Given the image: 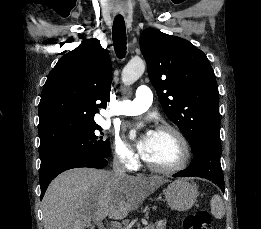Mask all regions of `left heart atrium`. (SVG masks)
<instances>
[{
  "mask_svg": "<svg viewBox=\"0 0 261 229\" xmlns=\"http://www.w3.org/2000/svg\"><path fill=\"white\" fill-rule=\"evenodd\" d=\"M154 134L155 131L152 130L146 131L137 143L138 150L141 153V155L144 157L146 156L149 150V146Z\"/></svg>",
  "mask_w": 261,
  "mask_h": 229,
  "instance_id": "39dd6f15",
  "label": "left heart atrium"
}]
</instances>
